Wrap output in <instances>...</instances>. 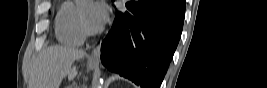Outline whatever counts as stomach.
Returning a JSON list of instances; mask_svg holds the SVG:
<instances>
[{
	"mask_svg": "<svg viewBox=\"0 0 267 88\" xmlns=\"http://www.w3.org/2000/svg\"><path fill=\"white\" fill-rule=\"evenodd\" d=\"M95 66H96V64H94V63H90V64L88 65V67H89L90 69H93Z\"/></svg>",
	"mask_w": 267,
	"mask_h": 88,
	"instance_id": "stomach-1",
	"label": "stomach"
}]
</instances>
